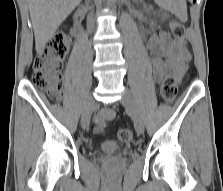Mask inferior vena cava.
Returning a JSON list of instances; mask_svg holds the SVG:
<instances>
[{"mask_svg": "<svg viewBox=\"0 0 223 191\" xmlns=\"http://www.w3.org/2000/svg\"><path fill=\"white\" fill-rule=\"evenodd\" d=\"M88 25H89L90 27H93V26H94V20L92 19L91 16L88 17Z\"/></svg>", "mask_w": 223, "mask_h": 191, "instance_id": "1", "label": "inferior vena cava"}]
</instances>
